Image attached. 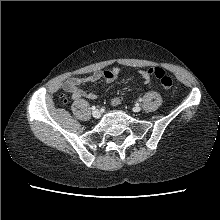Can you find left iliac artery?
<instances>
[{
  "label": "left iliac artery",
  "mask_w": 220,
  "mask_h": 220,
  "mask_svg": "<svg viewBox=\"0 0 220 220\" xmlns=\"http://www.w3.org/2000/svg\"><path fill=\"white\" fill-rule=\"evenodd\" d=\"M138 101L141 102V101H142V98H139Z\"/></svg>",
  "instance_id": "1"
}]
</instances>
